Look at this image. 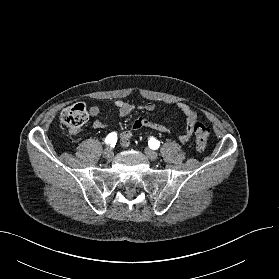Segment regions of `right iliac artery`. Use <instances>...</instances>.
<instances>
[{
  "instance_id": "right-iliac-artery-1",
  "label": "right iliac artery",
  "mask_w": 279,
  "mask_h": 279,
  "mask_svg": "<svg viewBox=\"0 0 279 279\" xmlns=\"http://www.w3.org/2000/svg\"><path fill=\"white\" fill-rule=\"evenodd\" d=\"M116 142H117V134L115 132L110 133L105 139V143L107 145L114 146Z\"/></svg>"
}]
</instances>
